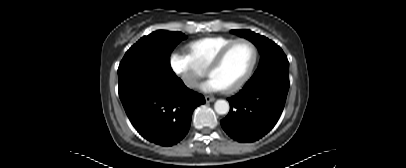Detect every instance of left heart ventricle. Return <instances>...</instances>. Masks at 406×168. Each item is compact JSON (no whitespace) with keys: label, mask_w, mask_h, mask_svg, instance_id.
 I'll return each mask as SVG.
<instances>
[{"label":"left heart ventricle","mask_w":406,"mask_h":168,"mask_svg":"<svg viewBox=\"0 0 406 168\" xmlns=\"http://www.w3.org/2000/svg\"><path fill=\"white\" fill-rule=\"evenodd\" d=\"M253 57L252 47L245 42L234 45L222 63L212 71L214 78L223 88L237 82L247 70Z\"/></svg>","instance_id":"b2bd125f"}]
</instances>
